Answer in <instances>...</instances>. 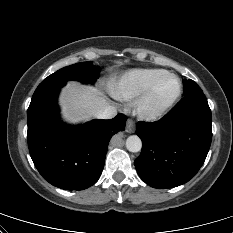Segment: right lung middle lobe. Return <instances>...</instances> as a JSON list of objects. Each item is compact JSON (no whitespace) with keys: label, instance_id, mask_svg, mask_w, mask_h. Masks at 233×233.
Segmentation results:
<instances>
[{"label":"right lung middle lobe","instance_id":"1","mask_svg":"<svg viewBox=\"0 0 233 233\" xmlns=\"http://www.w3.org/2000/svg\"><path fill=\"white\" fill-rule=\"evenodd\" d=\"M100 68L92 61L81 62L64 67L45 78L35 90L33 97H38L49 91L60 89L69 80L94 82L99 77Z\"/></svg>","mask_w":233,"mask_h":233}]
</instances>
